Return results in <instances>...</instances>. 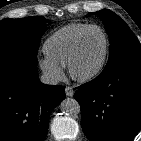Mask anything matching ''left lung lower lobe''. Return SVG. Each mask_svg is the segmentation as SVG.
I'll return each instance as SVG.
<instances>
[{"label":"left lung lower lobe","instance_id":"0a47b994","mask_svg":"<svg viewBox=\"0 0 141 141\" xmlns=\"http://www.w3.org/2000/svg\"><path fill=\"white\" fill-rule=\"evenodd\" d=\"M90 141H131L141 129V59L117 62L74 95Z\"/></svg>","mask_w":141,"mask_h":141}]
</instances>
